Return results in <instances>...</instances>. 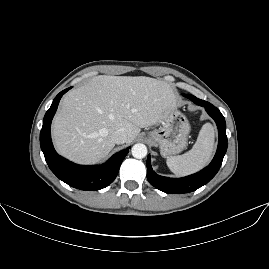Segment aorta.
Wrapping results in <instances>:
<instances>
[{
  "mask_svg": "<svg viewBox=\"0 0 269 269\" xmlns=\"http://www.w3.org/2000/svg\"><path fill=\"white\" fill-rule=\"evenodd\" d=\"M132 155L137 159L144 158L147 155V147L142 143L135 144L132 147Z\"/></svg>",
  "mask_w": 269,
  "mask_h": 269,
  "instance_id": "obj_1",
  "label": "aorta"
}]
</instances>
